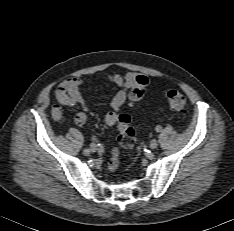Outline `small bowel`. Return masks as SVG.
Returning <instances> with one entry per match:
<instances>
[{"mask_svg":"<svg viewBox=\"0 0 234 231\" xmlns=\"http://www.w3.org/2000/svg\"><path fill=\"white\" fill-rule=\"evenodd\" d=\"M136 76L133 73H128L125 76L120 74L109 75L107 82L117 86L119 90L114 95L111 101V110L105 115V123L108 126H113L118 121V111L126 101L127 90L131 88L135 82ZM83 80L80 78H69L63 81L56 89L55 96L58 104L52 107V117L59 120L62 117V107H71L74 105H81L83 111L75 115V122L78 125H84L87 122V113L89 111V104L81 92ZM116 162L111 161L109 168H115Z\"/></svg>","mask_w":234,"mask_h":231,"instance_id":"obj_1","label":"small bowel"}]
</instances>
